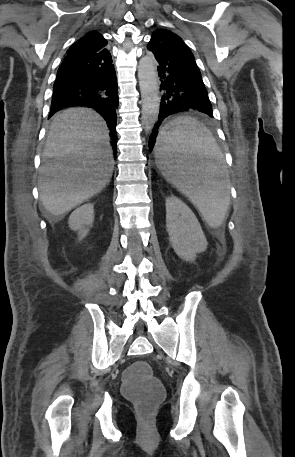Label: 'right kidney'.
<instances>
[{"instance_id": "right-kidney-1", "label": "right kidney", "mask_w": 295, "mask_h": 457, "mask_svg": "<svg viewBox=\"0 0 295 457\" xmlns=\"http://www.w3.org/2000/svg\"><path fill=\"white\" fill-rule=\"evenodd\" d=\"M94 221V206L85 204L77 208L69 217V226L72 230L78 231L80 240L84 238Z\"/></svg>"}]
</instances>
